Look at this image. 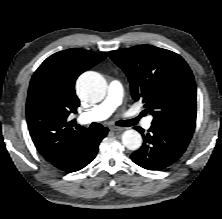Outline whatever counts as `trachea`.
Listing matches in <instances>:
<instances>
[{
	"label": "trachea",
	"instance_id": "obj_1",
	"mask_svg": "<svg viewBox=\"0 0 222 219\" xmlns=\"http://www.w3.org/2000/svg\"><path fill=\"white\" fill-rule=\"evenodd\" d=\"M139 118H134V119H131V120H125V121H118L116 124L118 126H125V127H129V126H134L136 125V123L138 122ZM102 127V124L100 123H96V122H93L89 128L90 129H96V128H100Z\"/></svg>",
	"mask_w": 222,
	"mask_h": 219
}]
</instances>
